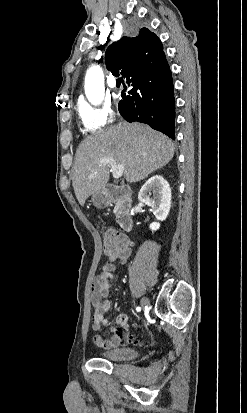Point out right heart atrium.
Wrapping results in <instances>:
<instances>
[{
	"instance_id": "1",
	"label": "right heart atrium",
	"mask_w": 247,
	"mask_h": 413,
	"mask_svg": "<svg viewBox=\"0 0 247 413\" xmlns=\"http://www.w3.org/2000/svg\"><path fill=\"white\" fill-rule=\"evenodd\" d=\"M78 116L89 133L101 132L108 121L109 114L114 113L113 105H89L88 100H77Z\"/></svg>"
}]
</instances>
